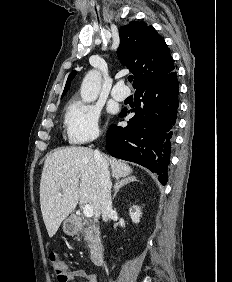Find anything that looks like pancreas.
<instances>
[{"label": "pancreas", "mask_w": 232, "mask_h": 282, "mask_svg": "<svg viewBox=\"0 0 232 282\" xmlns=\"http://www.w3.org/2000/svg\"><path fill=\"white\" fill-rule=\"evenodd\" d=\"M88 225V223H84V225ZM85 233V240L92 242V241H98L99 239V229L95 225H88V227L84 231Z\"/></svg>", "instance_id": "pancreas-1"}]
</instances>
